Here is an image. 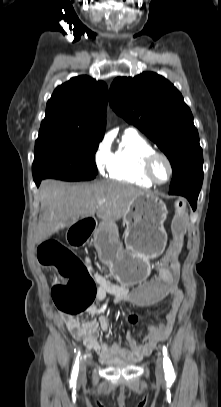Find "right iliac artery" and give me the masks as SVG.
<instances>
[{
    "instance_id": "82829eb1",
    "label": "right iliac artery",
    "mask_w": 221,
    "mask_h": 407,
    "mask_svg": "<svg viewBox=\"0 0 221 407\" xmlns=\"http://www.w3.org/2000/svg\"><path fill=\"white\" fill-rule=\"evenodd\" d=\"M79 356H80V352H78V355L76 357L75 360V364L73 367V371H72V379L76 380L77 375H78V370H79Z\"/></svg>"
}]
</instances>
